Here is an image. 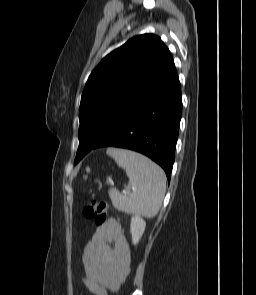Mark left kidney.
<instances>
[{"mask_svg":"<svg viewBox=\"0 0 256 295\" xmlns=\"http://www.w3.org/2000/svg\"><path fill=\"white\" fill-rule=\"evenodd\" d=\"M146 227V222L143 220V218L140 217V215L135 214L131 218V224H130V232L132 235V242L133 244H137L142 237Z\"/></svg>","mask_w":256,"mask_h":295,"instance_id":"left-kidney-1","label":"left kidney"}]
</instances>
